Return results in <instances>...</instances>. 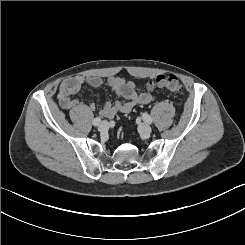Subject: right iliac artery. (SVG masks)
I'll return each instance as SVG.
<instances>
[{
	"label": "right iliac artery",
	"instance_id": "right-iliac-artery-1",
	"mask_svg": "<svg viewBox=\"0 0 245 245\" xmlns=\"http://www.w3.org/2000/svg\"><path fill=\"white\" fill-rule=\"evenodd\" d=\"M93 125L94 126H98L100 123H101V118L100 117H96L94 120H93Z\"/></svg>",
	"mask_w": 245,
	"mask_h": 245
}]
</instances>
